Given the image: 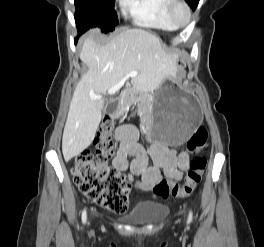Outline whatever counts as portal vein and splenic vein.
Here are the masks:
<instances>
[{
	"label": "portal vein and splenic vein",
	"mask_w": 264,
	"mask_h": 247,
	"mask_svg": "<svg viewBox=\"0 0 264 247\" xmlns=\"http://www.w3.org/2000/svg\"><path fill=\"white\" fill-rule=\"evenodd\" d=\"M136 75H137L136 73L132 72V73H129L126 77L130 76L133 78V77H136ZM126 77L123 80H121L119 83L114 85L113 87L109 88L108 94H114L116 91H118L122 87V85L124 84ZM101 98H102V95H93V94L90 95L91 100H99Z\"/></svg>",
	"instance_id": "1"
}]
</instances>
